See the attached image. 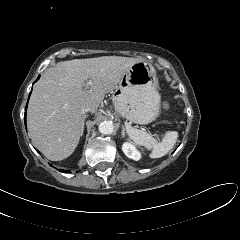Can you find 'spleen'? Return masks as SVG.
I'll list each match as a JSON object with an SVG mask.
<instances>
[{
	"mask_svg": "<svg viewBox=\"0 0 240 240\" xmlns=\"http://www.w3.org/2000/svg\"><path fill=\"white\" fill-rule=\"evenodd\" d=\"M126 131L134 143L144 146L149 150L152 149L151 158H160L166 155L174 147L178 137L176 131H171L165 135L161 143H158L149 133L134 128L129 124L126 125Z\"/></svg>",
	"mask_w": 240,
	"mask_h": 240,
	"instance_id": "1",
	"label": "spleen"
}]
</instances>
